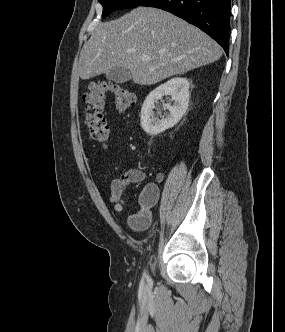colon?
<instances>
[{"label": "colon", "instance_id": "5ec220e1", "mask_svg": "<svg viewBox=\"0 0 285 332\" xmlns=\"http://www.w3.org/2000/svg\"><path fill=\"white\" fill-rule=\"evenodd\" d=\"M108 95L120 112H125L135 102L133 92L121 85L108 81H96L89 85L83 96L85 119L91 138L102 146H106L110 139V128L103 113Z\"/></svg>", "mask_w": 285, "mask_h": 332}]
</instances>
